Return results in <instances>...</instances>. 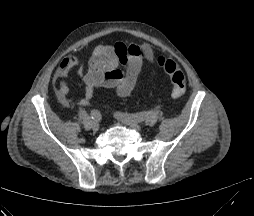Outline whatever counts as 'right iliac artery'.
Returning a JSON list of instances; mask_svg holds the SVG:
<instances>
[{
	"label": "right iliac artery",
	"mask_w": 254,
	"mask_h": 216,
	"mask_svg": "<svg viewBox=\"0 0 254 216\" xmlns=\"http://www.w3.org/2000/svg\"><path fill=\"white\" fill-rule=\"evenodd\" d=\"M91 118L93 119V120H100L101 119V113L98 111V110H95V109H93L92 111H91Z\"/></svg>",
	"instance_id": "right-iliac-artery-1"
}]
</instances>
